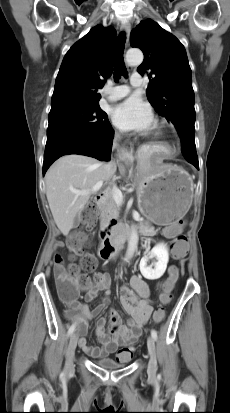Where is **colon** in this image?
I'll list each match as a JSON object with an SVG mask.
<instances>
[{
	"label": "colon",
	"instance_id": "1",
	"mask_svg": "<svg viewBox=\"0 0 230 413\" xmlns=\"http://www.w3.org/2000/svg\"><path fill=\"white\" fill-rule=\"evenodd\" d=\"M81 228L73 234L68 240V246L72 251L71 258L79 256L82 252V248L88 242L87 232L92 229L97 219L96 208L89 204L85 207L82 214ZM190 245L189 240L183 234L178 235L172 245L173 257L184 258L186 256L185 248ZM97 260L93 255H86L82 259V269L84 272H80L79 267L76 264H70L65 267L63 259L59 254L54 256L53 260V274L55 277L56 288L61 298L66 302H72L79 290H85L91 287L92 280L86 272L96 268ZM179 276V269L176 265L169 267L168 278L161 279L162 292L159 296L161 306H159L154 313V321L156 323L161 322L165 317L164 305L168 304L171 300V290L176 286V281ZM94 276L93 281L96 282ZM126 356L133 355V348L127 347L123 350Z\"/></svg>",
	"mask_w": 230,
	"mask_h": 413
}]
</instances>
